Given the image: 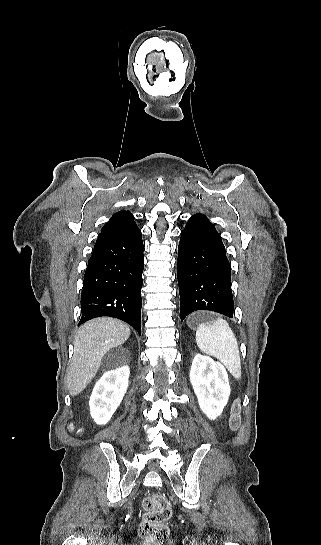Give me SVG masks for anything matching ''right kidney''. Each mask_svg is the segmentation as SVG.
<instances>
[{"mask_svg": "<svg viewBox=\"0 0 321 545\" xmlns=\"http://www.w3.org/2000/svg\"><path fill=\"white\" fill-rule=\"evenodd\" d=\"M129 367L107 371L97 381L90 397V415L97 425H106L119 407L127 389Z\"/></svg>", "mask_w": 321, "mask_h": 545, "instance_id": "obj_1", "label": "right kidney"}]
</instances>
